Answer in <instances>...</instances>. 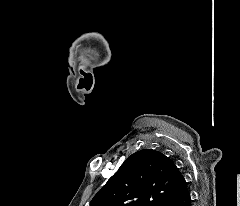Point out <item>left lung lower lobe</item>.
<instances>
[{"label": "left lung lower lobe", "instance_id": "obj_1", "mask_svg": "<svg viewBox=\"0 0 240 206\" xmlns=\"http://www.w3.org/2000/svg\"><path fill=\"white\" fill-rule=\"evenodd\" d=\"M191 194L188 186V182L184 176L180 173L178 185L169 197L165 206H191Z\"/></svg>", "mask_w": 240, "mask_h": 206}]
</instances>
